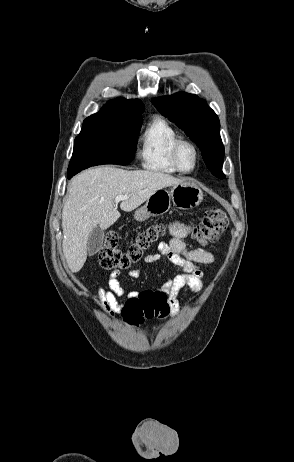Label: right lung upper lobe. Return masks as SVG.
<instances>
[{
	"mask_svg": "<svg viewBox=\"0 0 294 462\" xmlns=\"http://www.w3.org/2000/svg\"><path fill=\"white\" fill-rule=\"evenodd\" d=\"M144 109V105L138 99L126 100L124 98H117L109 101L97 114L135 117L140 116Z\"/></svg>",
	"mask_w": 294,
	"mask_h": 462,
	"instance_id": "obj_1",
	"label": "right lung upper lobe"
}]
</instances>
